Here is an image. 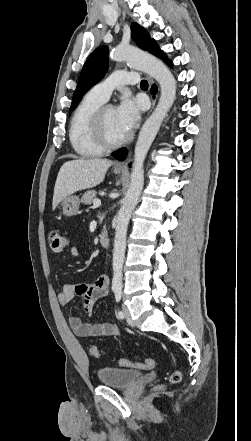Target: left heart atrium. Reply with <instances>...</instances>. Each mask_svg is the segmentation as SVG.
<instances>
[{
	"label": "left heart atrium",
	"instance_id": "1",
	"mask_svg": "<svg viewBox=\"0 0 251 441\" xmlns=\"http://www.w3.org/2000/svg\"><path fill=\"white\" fill-rule=\"evenodd\" d=\"M116 115L121 128L128 133L134 129L139 122V105L131 98H124L116 108Z\"/></svg>",
	"mask_w": 251,
	"mask_h": 441
}]
</instances>
